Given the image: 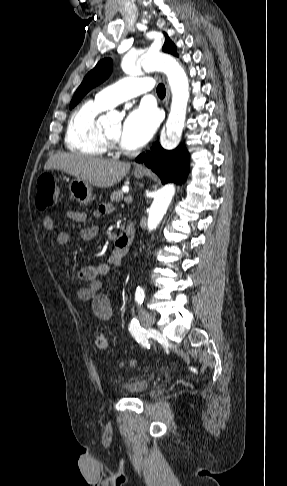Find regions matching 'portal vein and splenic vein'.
Segmentation results:
<instances>
[{"mask_svg": "<svg viewBox=\"0 0 287 486\" xmlns=\"http://www.w3.org/2000/svg\"><path fill=\"white\" fill-rule=\"evenodd\" d=\"M125 203H131L133 201V197L131 195L124 198Z\"/></svg>", "mask_w": 287, "mask_h": 486, "instance_id": "portal-vein-and-splenic-vein-1", "label": "portal vein and splenic vein"}]
</instances>
